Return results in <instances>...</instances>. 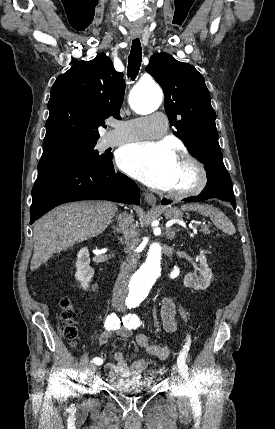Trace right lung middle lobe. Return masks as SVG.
<instances>
[{
    "label": "right lung middle lobe",
    "mask_w": 275,
    "mask_h": 429,
    "mask_svg": "<svg viewBox=\"0 0 275 429\" xmlns=\"http://www.w3.org/2000/svg\"><path fill=\"white\" fill-rule=\"evenodd\" d=\"M96 142L74 145L51 155L43 156L38 164V176L64 168H84L112 162V154H99Z\"/></svg>",
    "instance_id": "1"
}]
</instances>
